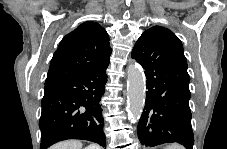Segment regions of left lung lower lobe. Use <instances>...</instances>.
Wrapping results in <instances>:
<instances>
[{
	"mask_svg": "<svg viewBox=\"0 0 227 149\" xmlns=\"http://www.w3.org/2000/svg\"><path fill=\"white\" fill-rule=\"evenodd\" d=\"M131 57L142 65L147 78L146 102L137 128L141 144L153 147L176 142L193 149L190 77L184 52L155 26L140 36Z\"/></svg>",
	"mask_w": 227,
	"mask_h": 149,
	"instance_id": "obj_1",
	"label": "left lung lower lobe"
}]
</instances>
